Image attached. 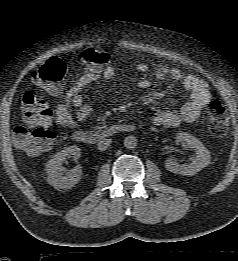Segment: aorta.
<instances>
[{
	"instance_id": "762f6f07",
	"label": "aorta",
	"mask_w": 238,
	"mask_h": 261,
	"mask_svg": "<svg viewBox=\"0 0 238 261\" xmlns=\"http://www.w3.org/2000/svg\"><path fill=\"white\" fill-rule=\"evenodd\" d=\"M137 138L133 135H129L124 139V146L127 149H134L137 146Z\"/></svg>"
}]
</instances>
